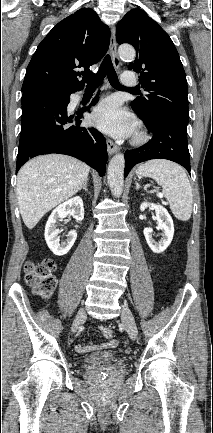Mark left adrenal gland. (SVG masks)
<instances>
[{
    "mask_svg": "<svg viewBox=\"0 0 213 433\" xmlns=\"http://www.w3.org/2000/svg\"><path fill=\"white\" fill-rule=\"evenodd\" d=\"M135 184H136L135 189L138 190L140 188V185L138 184V182H136Z\"/></svg>",
    "mask_w": 213,
    "mask_h": 433,
    "instance_id": "a2214340",
    "label": "left adrenal gland"
}]
</instances>
